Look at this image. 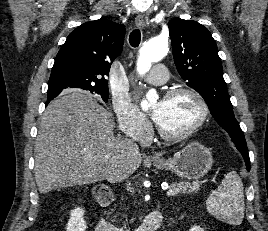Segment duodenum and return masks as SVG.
Returning <instances> with one entry per match:
<instances>
[{
    "mask_svg": "<svg viewBox=\"0 0 268 231\" xmlns=\"http://www.w3.org/2000/svg\"><path fill=\"white\" fill-rule=\"evenodd\" d=\"M95 198L103 205L109 204L113 198L112 191L109 187L103 186L95 191ZM161 224L159 211L154 210L147 214L143 223L134 230H127L117 227L109 222L102 215H97V225L95 231H154Z\"/></svg>",
    "mask_w": 268,
    "mask_h": 231,
    "instance_id": "obj_1",
    "label": "duodenum"
}]
</instances>
